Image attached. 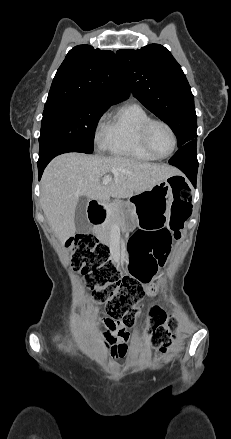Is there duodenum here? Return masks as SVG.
<instances>
[{
  "label": "duodenum",
  "mask_w": 231,
  "mask_h": 439,
  "mask_svg": "<svg viewBox=\"0 0 231 439\" xmlns=\"http://www.w3.org/2000/svg\"><path fill=\"white\" fill-rule=\"evenodd\" d=\"M106 202L91 201L89 204V219L92 223H96L100 217Z\"/></svg>",
  "instance_id": "duodenum-1"
}]
</instances>
